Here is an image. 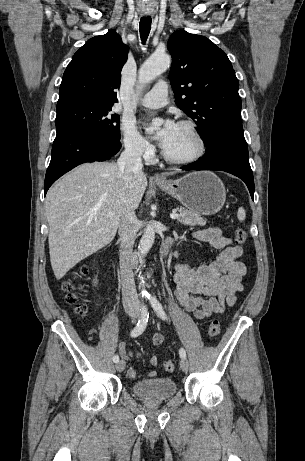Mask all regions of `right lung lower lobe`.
<instances>
[{
	"label": "right lung lower lobe",
	"mask_w": 305,
	"mask_h": 461,
	"mask_svg": "<svg viewBox=\"0 0 305 461\" xmlns=\"http://www.w3.org/2000/svg\"><path fill=\"white\" fill-rule=\"evenodd\" d=\"M121 149L119 141L91 134L62 135L53 142L51 161L46 172L44 191L63 174L85 162L104 161Z\"/></svg>",
	"instance_id": "obj_1"
}]
</instances>
